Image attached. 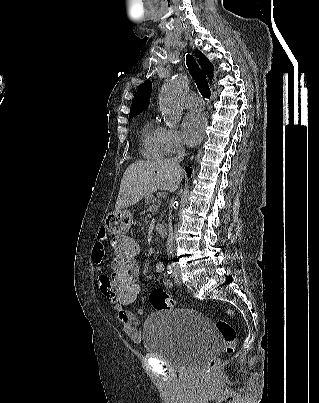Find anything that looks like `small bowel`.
<instances>
[{
  "mask_svg": "<svg viewBox=\"0 0 319 403\" xmlns=\"http://www.w3.org/2000/svg\"><path fill=\"white\" fill-rule=\"evenodd\" d=\"M108 243V233L105 229H100L97 235V241L95 242L91 259L94 264L100 266L101 270H106L108 266V257L106 256ZM112 261V260H111ZM164 269L163 262L159 261L155 265L156 272H162ZM134 278L138 282L139 268H133ZM164 286L171 288L173 283L171 280H165ZM98 287L104 300L114 309L118 320L123 324V330L125 334L134 342H140L142 340V332L139 328L138 316L142 313L139 309L138 313H131L127 306L131 304H117L113 299V273L106 272L101 275L98 280ZM139 291L136 294L139 295Z\"/></svg>",
  "mask_w": 319,
  "mask_h": 403,
  "instance_id": "c3829d8e",
  "label": "small bowel"
}]
</instances>
